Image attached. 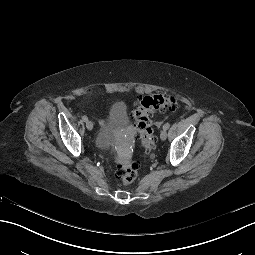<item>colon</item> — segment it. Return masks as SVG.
<instances>
[{"mask_svg": "<svg viewBox=\"0 0 255 255\" xmlns=\"http://www.w3.org/2000/svg\"><path fill=\"white\" fill-rule=\"evenodd\" d=\"M177 107V99L167 94L146 96L138 102L133 112L135 129L145 150L150 151L155 141L152 115L157 112L174 111ZM139 167L138 162L120 159L117 161L116 176L124 185H129L136 179Z\"/></svg>", "mask_w": 255, "mask_h": 255, "instance_id": "obj_1", "label": "colon"}]
</instances>
